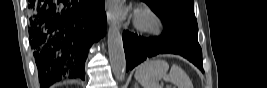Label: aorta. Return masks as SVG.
<instances>
[{
    "mask_svg": "<svg viewBox=\"0 0 267 88\" xmlns=\"http://www.w3.org/2000/svg\"><path fill=\"white\" fill-rule=\"evenodd\" d=\"M108 54L111 68L118 81H123L126 71V58L122 35L115 24H111L107 33Z\"/></svg>",
    "mask_w": 267,
    "mask_h": 88,
    "instance_id": "762f6f07",
    "label": "aorta"
}]
</instances>
